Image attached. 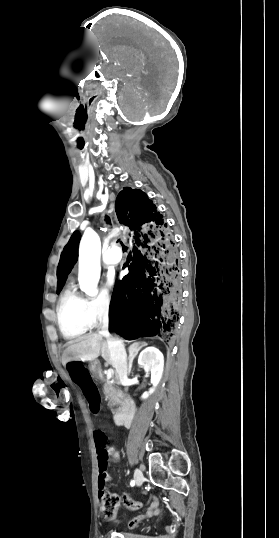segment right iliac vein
<instances>
[{
	"instance_id": "right-iliac-vein-1",
	"label": "right iliac vein",
	"mask_w": 279,
	"mask_h": 538,
	"mask_svg": "<svg viewBox=\"0 0 279 538\" xmlns=\"http://www.w3.org/2000/svg\"><path fill=\"white\" fill-rule=\"evenodd\" d=\"M134 480H135L137 486L142 485V483H143V474H142L141 470H139V469L135 470Z\"/></svg>"
}]
</instances>
